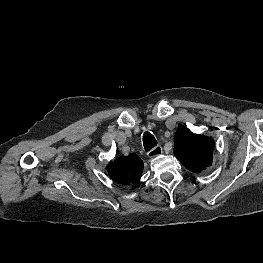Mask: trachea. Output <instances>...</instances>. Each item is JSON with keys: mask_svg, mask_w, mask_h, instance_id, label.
<instances>
[{"mask_svg": "<svg viewBox=\"0 0 263 263\" xmlns=\"http://www.w3.org/2000/svg\"><path fill=\"white\" fill-rule=\"evenodd\" d=\"M143 145L145 151L147 152L152 150L157 145L155 137L150 132H145L143 134Z\"/></svg>", "mask_w": 263, "mask_h": 263, "instance_id": "3493384b", "label": "trachea"}]
</instances>
